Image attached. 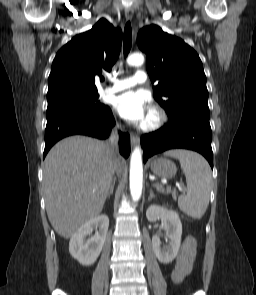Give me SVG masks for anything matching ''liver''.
I'll use <instances>...</instances> for the list:
<instances>
[{"label": "liver", "instance_id": "liver-1", "mask_svg": "<svg viewBox=\"0 0 256 295\" xmlns=\"http://www.w3.org/2000/svg\"><path fill=\"white\" fill-rule=\"evenodd\" d=\"M122 161L103 141L70 136L47 154L43 188L49 221L63 238L71 237L104 206L115 171Z\"/></svg>", "mask_w": 256, "mask_h": 295}]
</instances>
